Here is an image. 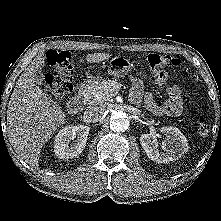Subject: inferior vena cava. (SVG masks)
<instances>
[{"instance_id": "1", "label": "inferior vena cava", "mask_w": 221, "mask_h": 221, "mask_svg": "<svg viewBox=\"0 0 221 221\" xmlns=\"http://www.w3.org/2000/svg\"><path fill=\"white\" fill-rule=\"evenodd\" d=\"M107 107L105 104H96L87 107L84 113V120L86 122H98L106 114Z\"/></svg>"}]
</instances>
